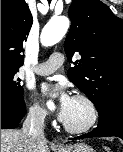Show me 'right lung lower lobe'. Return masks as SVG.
Instances as JSON below:
<instances>
[{"mask_svg":"<svg viewBox=\"0 0 123 152\" xmlns=\"http://www.w3.org/2000/svg\"><path fill=\"white\" fill-rule=\"evenodd\" d=\"M25 114V104L15 106L8 103H1V129L16 127Z\"/></svg>","mask_w":123,"mask_h":152,"instance_id":"right-lung-lower-lobe-1","label":"right lung lower lobe"}]
</instances>
